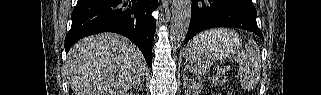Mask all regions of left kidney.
Listing matches in <instances>:
<instances>
[{
	"mask_svg": "<svg viewBox=\"0 0 321 95\" xmlns=\"http://www.w3.org/2000/svg\"><path fill=\"white\" fill-rule=\"evenodd\" d=\"M200 88H197V87H193V90H192V95H199L200 93Z\"/></svg>",
	"mask_w": 321,
	"mask_h": 95,
	"instance_id": "5707ae66",
	"label": "left kidney"
}]
</instances>
